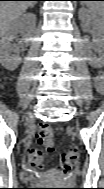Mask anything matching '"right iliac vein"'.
Returning <instances> with one entry per match:
<instances>
[{
  "mask_svg": "<svg viewBox=\"0 0 104 189\" xmlns=\"http://www.w3.org/2000/svg\"><path fill=\"white\" fill-rule=\"evenodd\" d=\"M29 120H30V121L33 120V116H32V115L29 116Z\"/></svg>",
  "mask_w": 104,
  "mask_h": 189,
  "instance_id": "63e3f726",
  "label": "right iliac vein"
}]
</instances>
